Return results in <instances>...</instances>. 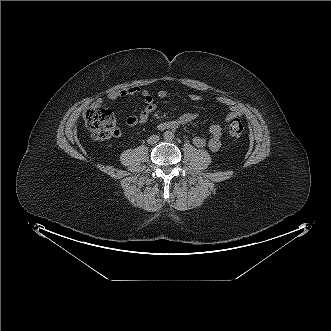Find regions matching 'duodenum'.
I'll return each mask as SVG.
<instances>
[{"mask_svg": "<svg viewBox=\"0 0 331 331\" xmlns=\"http://www.w3.org/2000/svg\"><path fill=\"white\" fill-rule=\"evenodd\" d=\"M176 128H178V123L174 121H169L164 124V129L174 130Z\"/></svg>", "mask_w": 331, "mask_h": 331, "instance_id": "410a0bca", "label": "duodenum"}]
</instances>
